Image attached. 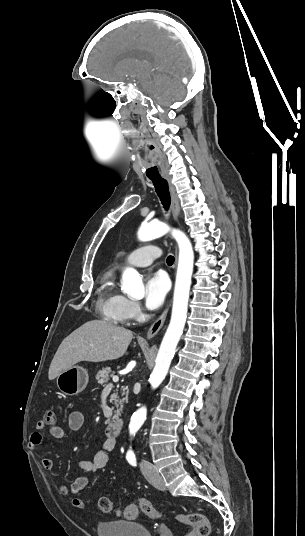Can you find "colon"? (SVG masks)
<instances>
[{
  "label": "colon",
  "mask_w": 305,
  "mask_h": 536,
  "mask_svg": "<svg viewBox=\"0 0 305 536\" xmlns=\"http://www.w3.org/2000/svg\"><path fill=\"white\" fill-rule=\"evenodd\" d=\"M47 424H53L54 421V412L48 413L45 418ZM72 506L74 509L79 510L82 513L87 512L85 506L87 503L82 502L81 498L75 496L71 500ZM100 511L103 513H112L116 514L125 519H133L137 516L139 512H142L146 516L154 519H160L163 517V514L146 498L140 497L131 504L115 509L113 501L110 498L103 497L99 501ZM175 520L180 524L191 525L193 530L188 536H210L211 525L207 517L201 514H179L176 516Z\"/></svg>",
  "instance_id": "5ec220e1"
}]
</instances>
